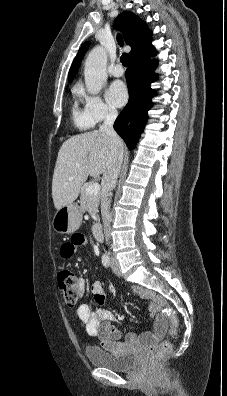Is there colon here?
I'll return each instance as SVG.
<instances>
[{
  "label": "colon",
  "mask_w": 227,
  "mask_h": 396,
  "mask_svg": "<svg viewBox=\"0 0 227 396\" xmlns=\"http://www.w3.org/2000/svg\"><path fill=\"white\" fill-rule=\"evenodd\" d=\"M58 285L63 295L65 303L69 307H75L79 300V291L75 274L69 268H62L57 275ZM163 312L170 321V336L176 335L178 330V318L174 310L167 304L164 305ZM172 349V343L169 339L162 341L159 345L154 346L151 350V362L156 364L160 359L169 353Z\"/></svg>",
  "instance_id": "1"
}]
</instances>
